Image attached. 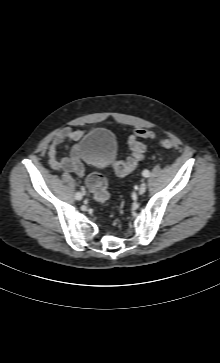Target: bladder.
<instances>
[{
	"label": "bladder",
	"instance_id": "bladder-1",
	"mask_svg": "<svg viewBox=\"0 0 220 363\" xmlns=\"http://www.w3.org/2000/svg\"><path fill=\"white\" fill-rule=\"evenodd\" d=\"M78 150L85 162L91 166H99L113 162L117 146L111 131L95 128L83 136Z\"/></svg>",
	"mask_w": 220,
	"mask_h": 363
}]
</instances>
